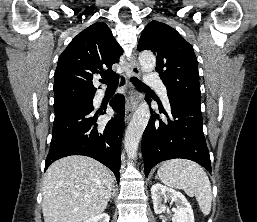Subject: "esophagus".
<instances>
[{"instance_id":"obj_1","label":"esophagus","mask_w":257,"mask_h":222,"mask_svg":"<svg viewBox=\"0 0 257 222\" xmlns=\"http://www.w3.org/2000/svg\"><path fill=\"white\" fill-rule=\"evenodd\" d=\"M130 72L133 76H140V68L139 65L135 59V57H132L130 60ZM140 96L136 93V91L132 90L131 92V100H139ZM135 110V105H133L131 102H128L125 109V121L128 122Z\"/></svg>"}]
</instances>
